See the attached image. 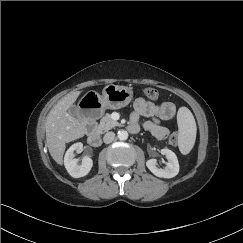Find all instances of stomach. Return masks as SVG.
Listing matches in <instances>:
<instances>
[{"mask_svg": "<svg viewBox=\"0 0 243 243\" xmlns=\"http://www.w3.org/2000/svg\"><path fill=\"white\" fill-rule=\"evenodd\" d=\"M132 98L133 91L130 87L110 84L103 89L102 95L89 91L80 102L88 101L89 107L95 108L101 114L105 109H120L127 106Z\"/></svg>", "mask_w": 243, "mask_h": 243, "instance_id": "1", "label": "stomach"}]
</instances>
